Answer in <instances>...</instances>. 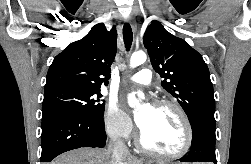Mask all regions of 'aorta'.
<instances>
[{"label": "aorta", "instance_id": "762f6f07", "mask_svg": "<svg viewBox=\"0 0 251 164\" xmlns=\"http://www.w3.org/2000/svg\"><path fill=\"white\" fill-rule=\"evenodd\" d=\"M147 59V56L144 52L139 51L132 54L130 58V68H135L143 64ZM138 95L140 99H144V94L142 92L131 93L128 95V104L130 107H136L138 105V100L135 95Z\"/></svg>", "mask_w": 251, "mask_h": 164}]
</instances>
